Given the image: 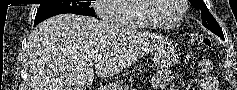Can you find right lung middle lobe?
Masks as SVG:
<instances>
[{
	"instance_id": "1",
	"label": "right lung middle lobe",
	"mask_w": 237,
	"mask_h": 90,
	"mask_svg": "<svg viewBox=\"0 0 237 90\" xmlns=\"http://www.w3.org/2000/svg\"><path fill=\"white\" fill-rule=\"evenodd\" d=\"M91 2H78V3H59V4H40L36 17L35 24L52 16L64 13H73L78 15H86L96 17L95 11L90 7Z\"/></svg>"
}]
</instances>
